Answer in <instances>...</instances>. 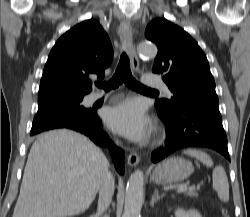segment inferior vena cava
<instances>
[{
    "label": "inferior vena cava",
    "instance_id": "1",
    "mask_svg": "<svg viewBox=\"0 0 250 217\" xmlns=\"http://www.w3.org/2000/svg\"><path fill=\"white\" fill-rule=\"evenodd\" d=\"M114 193V178L108 172L100 185L96 217H100L109 207Z\"/></svg>",
    "mask_w": 250,
    "mask_h": 217
}]
</instances>
